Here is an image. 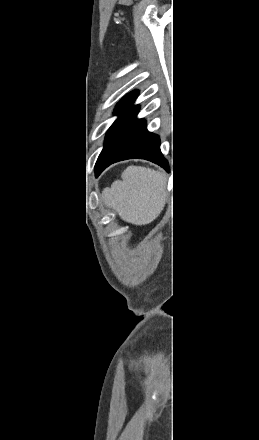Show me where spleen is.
Masks as SVG:
<instances>
[{"instance_id": "obj_1", "label": "spleen", "mask_w": 259, "mask_h": 440, "mask_svg": "<svg viewBox=\"0 0 259 440\" xmlns=\"http://www.w3.org/2000/svg\"><path fill=\"white\" fill-rule=\"evenodd\" d=\"M111 187L102 192V200L126 222L145 225L163 210L168 199L166 174L143 166H129Z\"/></svg>"}]
</instances>
